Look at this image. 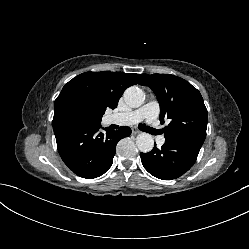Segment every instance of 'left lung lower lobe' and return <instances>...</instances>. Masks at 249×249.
<instances>
[{"label":"left lung lower lobe","mask_w":249,"mask_h":249,"mask_svg":"<svg viewBox=\"0 0 249 249\" xmlns=\"http://www.w3.org/2000/svg\"><path fill=\"white\" fill-rule=\"evenodd\" d=\"M201 146L186 141H165L161 149L140 153L144 168L162 180H172L187 172L195 163Z\"/></svg>","instance_id":"1"}]
</instances>
